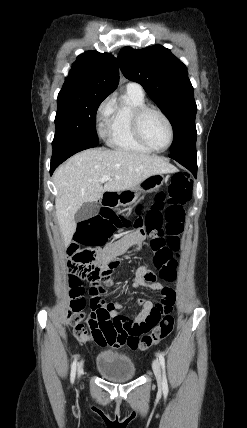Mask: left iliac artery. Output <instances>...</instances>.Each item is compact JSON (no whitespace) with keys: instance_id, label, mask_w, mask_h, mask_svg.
Instances as JSON below:
<instances>
[{"instance_id":"left-iliac-artery-1","label":"left iliac artery","mask_w":247,"mask_h":428,"mask_svg":"<svg viewBox=\"0 0 247 428\" xmlns=\"http://www.w3.org/2000/svg\"><path fill=\"white\" fill-rule=\"evenodd\" d=\"M158 358L160 361V364L162 366V370H163V379H162V389L164 394L168 393V383H167V378H166V373H165V358L163 356L162 353H158Z\"/></svg>"}]
</instances>
